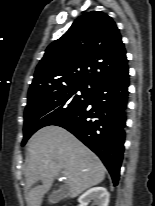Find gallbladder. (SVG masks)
<instances>
[{"mask_svg": "<svg viewBox=\"0 0 155 206\" xmlns=\"http://www.w3.org/2000/svg\"><path fill=\"white\" fill-rule=\"evenodd\" d=\"M66 188H62L60 190H54L48 197L49 203L55 204L60 202L66 197Z\"/></svg>", "mask_w": 155, "mask_h": 206, "instance_id": "gallbladder-1", "label": "gallbladder"}]
</instances>
